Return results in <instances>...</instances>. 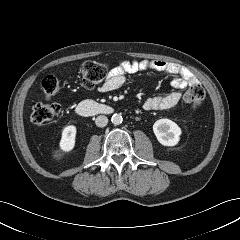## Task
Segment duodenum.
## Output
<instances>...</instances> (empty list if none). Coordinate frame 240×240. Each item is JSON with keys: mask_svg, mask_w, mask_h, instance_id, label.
I'll list each match as a JSON object with an SVG mask.
<instances>
[{"mask_svg": "<svg viewBox=\"0 0 240 240\" xmlns=\"http://www.w3.org/2000/svg\"><path fill=\"white\" fill-rule=\"evenodd\" d=\"M76 112L80 116L110 114L112 113V108L108 105L98 103L94 100H86L78 104Z\"/></svg>", "mask_w": 240, "mask_h": 240, "instance_id": "1", "label": "duodenum"}]
</instances>
